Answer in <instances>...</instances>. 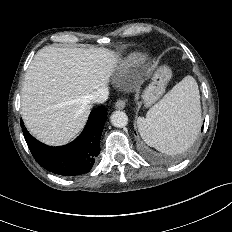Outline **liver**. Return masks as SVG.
<instances>
[{"label":"liver","instance_id":"1","mask_svg":"<svg viewBox=\"0 0 232 232\" xmlns=\"http://www.w3.org/2000/svg\"><path fill=\"white\" fill-rule=\"evenodd\" d=\"M117 63L118 55L105 48L40 49L21 93V114L30 133L53 146L76 137L90 112L88 95L106 86Z\"/></svg>","mask_w":232,"mask_h":232}]
</instances>
